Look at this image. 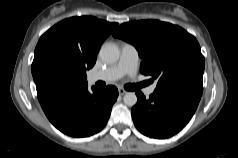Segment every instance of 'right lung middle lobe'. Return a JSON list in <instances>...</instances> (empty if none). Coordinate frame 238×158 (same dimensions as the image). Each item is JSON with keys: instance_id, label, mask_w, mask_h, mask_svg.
Returning a JSON list of instances; mask_svg holds the SVG:
<instances>
[{"instance_id": "right-lung-middle-lobe-1", "label": "right lung middle lobe", "mask_w": 238, "mask_h": 158, "mask_svg": "<svg viewBox=\"0 0 238 158\" xmlns=\"http://www.w3.org/2000/svg\"><path fill=\"white\" fill-rule=\"evenodd\" d=\"M32 75L39 80L79 84L80 73L74 60L56 47L43 49L32 63Z\"/></svg>"}]
</instances>
